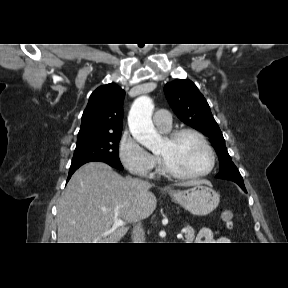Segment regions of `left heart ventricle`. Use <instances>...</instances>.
<instances>
[{
    "mask_svg": "<svg viewBox=\"0 0 288 288\" xmlns=\"http://www.w3.org/2000/svg\"><path fill=\"white\" fill-rule=\"evenodd\" d=\"M156 153L170 166L187 174L202 172L210 163L206 148L192 135H184L174 142L165 138Z\"/></svg>",
    "mask_w": 288,
    "mask_h": 288,
    "instance_id": "obj_1",
    "label": "left heart ventricle"
}]
</instances>
